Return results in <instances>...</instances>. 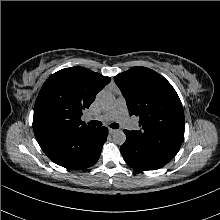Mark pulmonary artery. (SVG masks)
<instances>
[{
	"instance_id": "1",
	"label": "pulmonary artery",
	"mask_w": 220,
	"mask_h": 220,
	"mask_svg": "<svg viewBox=\"0 0 220 220\" xmlns=\"http://www.w3.org/2000/svg\"><path fill=\"white\" fill-rule=\"evenodd\" d=\"M92 119L101 121L117 120L129 130L134 129L135 126L134 122L129 117L126 101L122 96L117 98L114 107L110 111Z\"/></svg>"
}]
</instances>
